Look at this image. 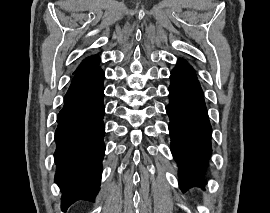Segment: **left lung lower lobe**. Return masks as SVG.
Listing matches in <instances>:
<instances>
[{
    "label": "left lung lower lobe",
    "mask_w": 270,
    "mask_h": 213,
    "mask_svg": "<svg viewBox=\"0 0 270 213\" xmlns=\"http://www.w3.org/2000/svg\"><path fill=\"white\" fill-rule=\"evenodd\" d=\"M170 118L171 151L179 166V187L206 185L205 170L211 155V132L203 92L193 68L178 63L171 72Z\"/></svg>",
    "instance_id": "0a47b994"
}]
</instances>
